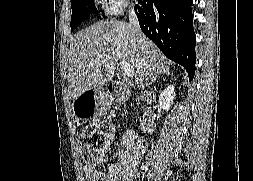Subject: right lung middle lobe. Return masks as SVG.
<instances>
[{
    "label": "right lung middle lobe",
    "mask_w": 253,
    "mask_h": 181,
    "mask_svg": "<svg viewBox=\"0 0 253 181\" xmlns=\"http://www.w3.org/2000/svg\"><path fill=\"white\" fill-rule=\"evenodd\" d=\"M71 30L79 26L91 13H97L94 0H71Z\"/></svg>",
    "instance_id": "dd1d6c3e"
}]
</instances>
